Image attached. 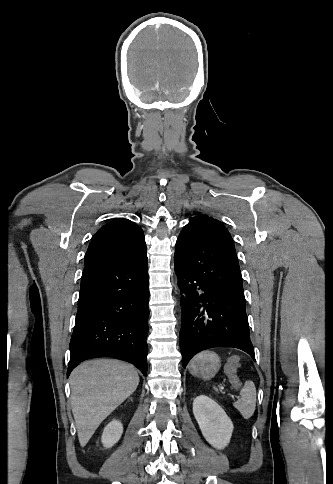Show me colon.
I'll return each mask as SVG.
<instances>
[{"instance_id": "colon-1", "label": "colon", "mask_w": 333, "mask_h": 484, "mask_svg": "<svg viewBox=\"0 0 333 484\" xmlns=\"http://www.w3.org/2000/svg\"><path fill=\"white\" fill-rule=\"evenodd\" d=\"M238 361L236 359L231 360L226 367V374L230 384L233 388L239 389L242 383L237 375Z\"/></svg>"}]
</instances>
